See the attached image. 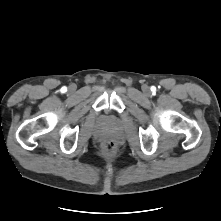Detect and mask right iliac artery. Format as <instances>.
Masks as SVG:
<instances>
[{"label":"right iliac artery","instance_id":"right-iliac-artery-1","mask_svg":"<svg viewBox=\"0 0 221 221\" xmlns=\"http://www.w3.org/2000/svg\"><path fill=\"white\" fill-rule=\"evenodd\" d=\"M62 91L63 92L67 91V88L66 87H62Z\"/></svg>","mask_w":221,"mask_h":221}]
</instances>
